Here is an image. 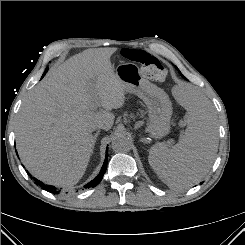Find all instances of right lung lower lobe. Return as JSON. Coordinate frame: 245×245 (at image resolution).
Segmentation results:
<instances>
[{
    "instance_id": "obj_1",
    "label": "right lung lower lobe",
    "mask_w": 245,
    "mask_h": 245,
    "mask_svg": "<svg viewBox=\"0 0 245 245\" xmlns=\"http://www.w3.org/2000/svg\"><path fill=\"white\" fill-rule=\"evenodd\" d=\"M48 70V68L46 69V71ZM46 71L44 72L43 76L45 75ZM42 76V77H43ZM108 148L106 150V158H105V161H104V164L101 168V171L100 173L96 176V178H94L91 182H89L88 184H86L84 187L85 188H89V187H95L96 185H98L100 183V181L102 180L105 172H106V168H107V162H108ZM35 182L41 186L43 189H45L46 191H52V192H58L56 190V188L54 186H51V185H46V184H43L41 181L35 179Z\"/></svg>"
}]
</instances>
